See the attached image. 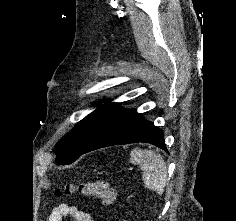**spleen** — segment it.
<instances>
[{
	"label": "spleen",
	"mask_w": 236,
	"mask_h": 221,
	"mask_svg": "<svg viewBox=\"0 0 236 221\" xmlns=\"http://www.w3.org/2000/svg\"><path fill=\"white\" fill-rule=\"evenodd\" d=\"M130 156V161L137 164L143 171L145 186L150 190L163 192L168 178L167 166L163 157L152 150L138 148L133 149Z\"/></svg>",
	"instance_id": "1"
}]
</instances>
